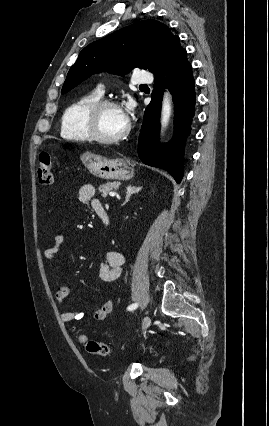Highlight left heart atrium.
Returning <instances> with one entry per match:
<instances>
[{
    "label": "left heart atrium",
    "instance_id": "obj_1",
    "mask_svg": "<svg viewBox=\"0 0 269 426\" xmlns=\"http://www.w3.org/2000/svg\"><path fill=\"white\" fill-rule=\"evenodd\" d=\"M130 112H131V109H130V108H127V109L122 110V115H123V118H124V120H125L126 122H128V121H129V114H130Z\"/></svg>",
    "mask_w": 269,
    "mask_h": 426
}]
</instances>
